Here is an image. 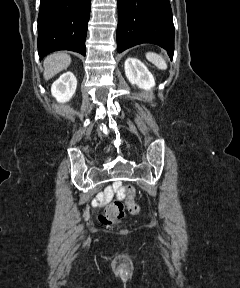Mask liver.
Listing matches in <instances>:
<instances>
[{
	"label": "liver",
	"mask_w": 240,
	"mask_h": 288,
	"mask_svg": "<svg viewBox=\"0 0 240 288\" xmlns=\"http://www.w3.org/2000/svg\"><path fill=\"white\" fill-rule=\"evenodd\" d=\"M71 64V57L66 53H53L48 55L43 63L44 79L49 80L59 72L67 69Z\"/></svg>",
	"instance_id": "1"
}]
</instances>
